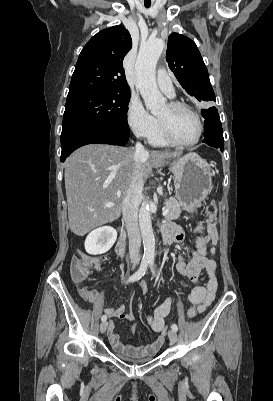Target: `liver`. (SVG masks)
I'll list each match as a JSON object with an SVG mask.
<instances>
[{
    "instance_id": "liver-1",
    "label": "liver",
    "mask_w": 273,
    "mask_h": 401,
    "mask_svg": "<svg viewBox=\"0 0 273 401\" xmlns=\"http://www.w3.org/2000/svg\"><path fill=\"white\" fill-rule=\"evenodd\" d=\"M133 154V148L85 144L68 156L64 180L72 233L83 237L92 229L120 217L133 176ZM180 154L178 150H149L141 158L143 180L148 178L152 168L163 166L165 158H176ZM105 203H114V207H104Z\"/></svg>"
}]
</instances>
